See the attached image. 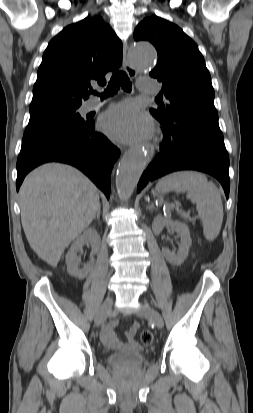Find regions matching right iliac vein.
I'll return each instance as SVG.
<instances>
[{"instance_id": "63e3f726", "label": "right iliac vein", "mask_w": 253, "mask_h": 413, "mask_svg": "<svg viewBox=\"0 0 253 413\" xmlns=\"http://www.w3.org/2000/svg\"><path fill=\"white\" fill-rule=\"evenodd\" d=\"M112 304H113V299L112 298H107L104 303L101 305L100 309L97 312V315L95 317V323L97 325L101 324L104 322V320L107 318V316L110 314L112 310Z\"/></svg>"}]
</instances>
